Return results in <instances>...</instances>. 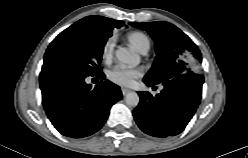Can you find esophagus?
Wrapping results in <instances>:
<instances>
[{
	"instance_id": "1",
	"label": "esophagus",
	"mask_w": 248,
	"mask_h": 158,
	"mask_svg": "<svg viewBox=\"0 0 248 158\" xmlns=\"http://www.w3.org/2000/svg\"><path fill=\"white\" fill-rule=\"evenodd\" d=\"M121 91L124 96L131 92V90L128 88H121Z\"/></svg>"
}]
</instances>
